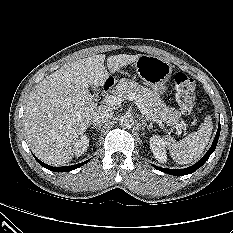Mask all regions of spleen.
Returning a JSON list of instances; mask_svg holds the SVG:
<instances>
[{
    "instance_id": "spleen-1",
    "label": "spleen",
    "mask_w": 233,
    "mask_h": 233,
    "mask_svg": "<svg viewBox=\"0 0 233 233\" xmlns=\"http://www.w3.org/2000/svg\"><path fill=\"white\" fill-rule=\"evenodd\" d=\"M213 129L211 116H206L197 132L188 134L185 138L175 141L172 137L165 136L162 141L168 148L172 159L181 165L197 160L209 143Z\"/></svg>"
}]
</instances>
